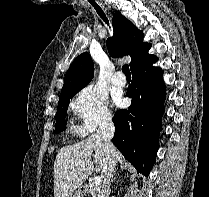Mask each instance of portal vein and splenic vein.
<instances>
[{
    "label": "portal vein and splenic vein",
    "mask_w": 209,
    "mask_h": 197,
    "mask_svg": "<svg viewBox=\"0 0 209 197\" xmlns=\"http://www.w3.org/2000/svg\"><path fill=\"white\" fill-rule=\"evenodd\" d=\"M93 182H94L96 185H99V184L102 182V179H101L100 176H94Z\"/></svg>",
    "instance_id": "18ae733b"
}]
</instances>
